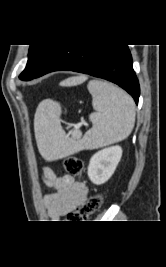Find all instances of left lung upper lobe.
Returning <instances> with one entry per match:
<instances>
[{
  "mask_svg": "<svg viewBox=\"0 0 166 267\" xmlns=\"http://www.w3.org/2000/svg\"><path fill=\"white\" fill-rule=\"evenodd\" d=\"M59 45H30L28 62L19 78L29 81L35 78L36 74Z\"/></svg>",
  "mask_w": 166,
  "mask_h": 267,
  "instance_id": "left-lung-upper-lobe-1",
  "label": "left lung upper lobe"
}]
</instances>
